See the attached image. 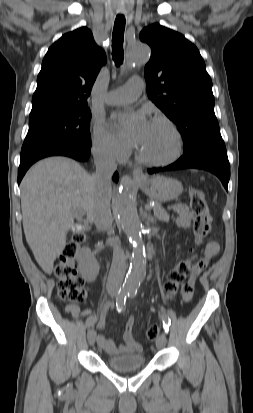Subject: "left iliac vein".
I'll use <instances>...</instances> for the list:
<instances>
[{"instance_id": "left-iliac-vein-1", "label": "left iliac vein", "mask_w": 253, "mask_h": 413, "mask_svg": "<svg viewBox=\"0 0 253 413\" xmlns=\"http://www.w3.org/2000/svg\"><path fill=\"white\" fill-rule=\"evenodd\" d=\"M166 345V336L162 333L156 340V347L158 349L163 348Z\"/></svg>"}]
</instances>
